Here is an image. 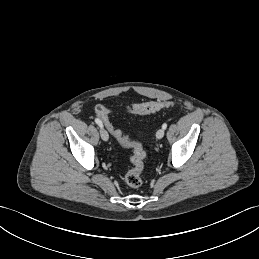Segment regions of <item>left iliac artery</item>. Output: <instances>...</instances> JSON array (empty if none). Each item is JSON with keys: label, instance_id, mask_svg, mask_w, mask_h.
Instances as JSON below:
<instances>
[{"label": "left iliac artery", "instance_id": "obj_1", "mask_svg": "<svg viewBox=\"0 0 259 259\" xmlns=\"http://www.w3.org/2000/svg\"><path fill=\"white\" fill-rule=\"evenodd\" d=\"M167 128V124L166 123H164L163 125H162V129H166Z\"/></svg>", "mask_w": 259, "mask_h": 259}]
</instances>
